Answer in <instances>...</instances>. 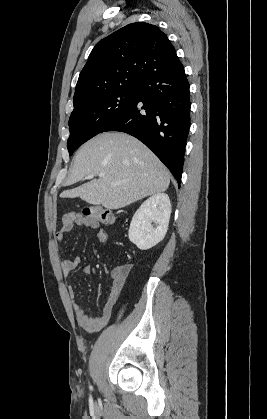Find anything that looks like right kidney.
Listing matches in <instances>:
<instances>
[{"label":"right kidney","instance_id":"obj_1","mask_svg":"<svg viewBox=\"0 0 267 419\" xmlns=\"http://www.w3.org/2000/svg\"><path fill=\"white\" fill-rule=\"evenodd\" d=\"M170 214L169 196L165 193L152 195L134 214L128 231L129 240L141 250L152 248L165 237Z\"/></svg>","mask_w":267,"mask_h":419}]
</instances>
